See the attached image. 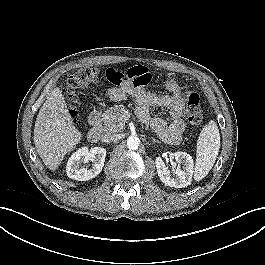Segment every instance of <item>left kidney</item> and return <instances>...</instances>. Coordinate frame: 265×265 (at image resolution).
<instances>
[{
    "mask_svg": "<svg viewBox=\"0 0 265 265\" xmlns=\"http://www.w3.org/2000/svg\"><path fill=\"white\" fill-rule=\"evenodd\" d=\"M175 160L178 166L174 172V176L170 175L168 167L165 165L161 157H156L155 165L160 180L169 187L183 188L191 184L194 163L192 157L186 152H175ZM184 165V170L180 164Z\"/></svg>",
    "mask_w": 265,
    "mask_h": 265,
    "instance_id": "left-kidney-1",
    "label": "left kidney"
}]
</instances>
